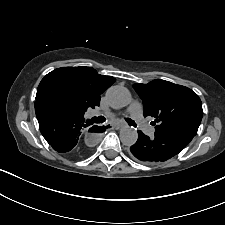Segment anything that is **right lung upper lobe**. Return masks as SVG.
Returning a JSON list of instances; mask_svg holds the SVG:
<instances>
[{"mask_svg":"<svg viewBox=\"0 0 225 225\" xmlns=\"http://www.w3.org/2000/svg\"><path fill=\"white\" fill-rule=\"evenodd\" d=\"M91 67H62L48 73L40 82L36 102L55 106L61 103L70 112L84 115L89 107L100 104V95L113 83Z\"/></svg>","mask_w":225,"mask_h":225,"instance_id":"cb5924a9","label":"right lung upper lobe"}]
</instances>
